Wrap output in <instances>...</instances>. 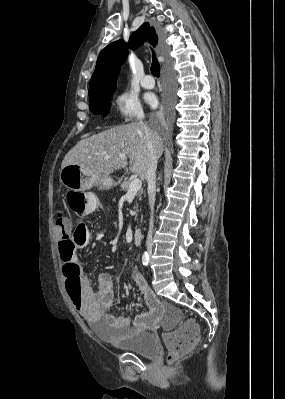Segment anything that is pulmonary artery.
Segmentation results:
<instances>
[{
  "label": "pulmonary artery",
  "instance_id": "e3ab8cb5",
  "mask_svg": "<svg viewBox=\"0 0 285 399\" xmlns=\"http://www.w3.org/2000/svg\"><path fill=\"white\" fill-rule=\"evenodd\" d=\"M141 85L145 89H152L154 87L155 81H154L153 77L151 76V74H149V73L145 74L144 78L141 81Z\"/></svg>",
  "mask_w": 285,
  "mask_h": 399
}]
</instances>
